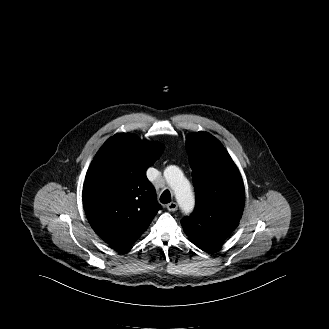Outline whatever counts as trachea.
<instances>
[{
	"label": "trachea",
	"mask_w": 329,
	"mask_h": 329,
	"mask_svg": "<svg viewBox=\"0 0 329 329\" xmlns=\"http://www.w3.org/2000/svg\"><path fill=\"white\" fill-rule=\"evenodd\" d=\"M160 202L163 204H167L171 202V194L169 190H165L160 196Z\"/></svg>",
	"instance_id": "3493384b"
}]
</instances>
